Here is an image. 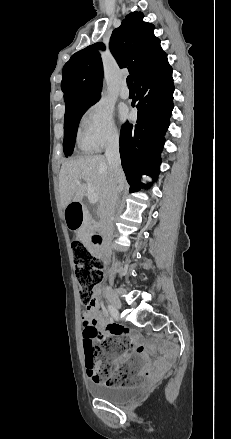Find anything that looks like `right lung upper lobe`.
I'll return each mask as SVG.
<instances>
[{"label":"right lung upper lobe","mask_w":231,"mask_h":439,"mask_svg":"<svg viewBox=\"0 0 231 439\" xmlns=\"http://www.w3.org/2000/svg\"><path fill=\"white\" fill-rule=\"evenodd\" d=\"M143 13L132 12L112 32L110 51L120 68H128L135 81L153 69L167 55L153 31L154 25L143 21ZM95 43L73 54L62 70L61 89L66 110L78 105L98 101L103 79V65Z\"/></svg>","instance_id":"right-lung-upper-lobe-1"}]
</instances>
